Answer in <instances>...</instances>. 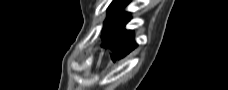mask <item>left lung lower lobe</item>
Instances as JSON below:
<instances>
[{"mask_svg": "<svg viewBox=\"0 0 228 90\" xmlns=\"http://www.w3.org/2000/svg\"><path fill=\"white\" fill-rule=\"evenodd\" d=\"M129 20L130 13L121 12L116 24L102 35L103 46L112 50L111 59L113 62L124 58L137 47V44L134 42V32L132 30H125V25Z\"/></svg>", "mask_w": 228, "mask_h": 90, "instance_id": "left-lung-lower-lobe-1", "label": "left lung lower lobe"}]
</instances>
